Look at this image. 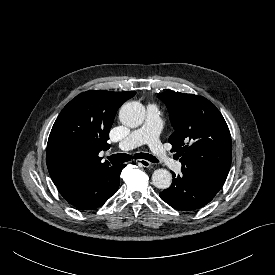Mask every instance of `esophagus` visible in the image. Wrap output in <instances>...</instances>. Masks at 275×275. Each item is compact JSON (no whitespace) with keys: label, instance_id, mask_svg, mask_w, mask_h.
Returning a JSON list of instances; mask_svg holds the SVG:
<instances>
[{"label":"esophagus","instance_id":"obj_1","mask_svg":"<svg viewBox=\"0 0 275 275\" xmlns=\"http://www.w3.org/2000/svg\"><path fill=\"white\" fill-rule=\"evenodd\" d=\"M136 162L145 168H149L152 166V163L145 159H138L136 160Z\"/></svg>","mask_w":275,"mask_h":275}]
</instances>
